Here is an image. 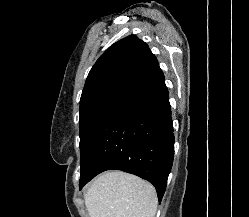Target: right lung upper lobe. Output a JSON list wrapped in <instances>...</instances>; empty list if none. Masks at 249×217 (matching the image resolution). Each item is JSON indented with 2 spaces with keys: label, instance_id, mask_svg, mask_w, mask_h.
<instances>
[{
  "label": "right lung upper lobe",
  "instance_id": "cb5924a9",
  "mask_svg": "<svg viewBox=\"0 0 249 217\" xmlns=\"http://www.w3.org/2000/svg\"><path fill=\"white\" fill-rule=\"evenodd\" d=\"M158 65L145 42L127 36L109 47L90 70L80 103L109 91L126 92Z\"/></svg>",
  "mask_w": 249,
  "mask_h": 217
}]
</instances>
